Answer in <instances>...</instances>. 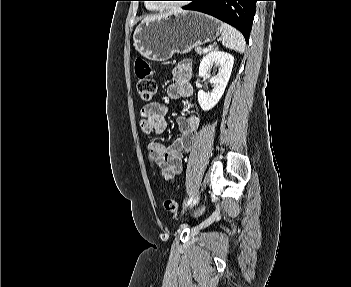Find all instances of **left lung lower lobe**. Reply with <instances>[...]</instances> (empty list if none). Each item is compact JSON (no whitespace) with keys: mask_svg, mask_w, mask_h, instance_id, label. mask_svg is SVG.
Returning a JSON list of instances; mask_svg holds the SVG:
<instances>
[{"mask_svg":"<svg viewBox=\"0 0 351 287\" xmlns=\"http://www.w3.org/2000/svg\"><path fill=\"white\" fill-rule=\"evenodd\" d=\"M191 4L184 7L186 10H195L212 15L238 28L246 42L252 28L255 15L256 1L258 0H190Z\"/></svg>","mask_w":351,"mask_h":287,"instance_id":"obj_1","label":"left lung lower lobe"}]
</instances>
